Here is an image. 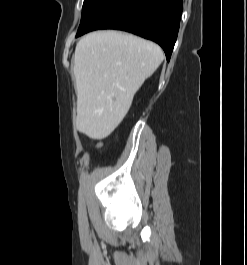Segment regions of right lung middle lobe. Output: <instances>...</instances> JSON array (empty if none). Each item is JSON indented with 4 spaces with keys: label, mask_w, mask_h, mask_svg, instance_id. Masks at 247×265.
I'll return each instance as SVG.
<instances>
[{
    "label": "right lung middle lobe",
    "mask_w": 247,
    "mask_h": 265,
    "mask_svg": "<svg viewBox=\"0 0 247 265\" xmlns=\"http://www.w3.org/2000/svg\"><path fill=\"white\" fill-rule=\"evenodd\" d=\"M99 2V0H84L82 7V17L81 21L87 16V14L92 10V8Z\"/></svg>",
    "instance_id": "obj_1"
}]
</instances>
